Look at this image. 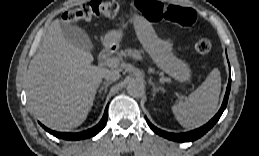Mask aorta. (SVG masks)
<instances>
[{
    "label": "aorta",
    "mask_w": 259,
    "mask_h": 156,
    "mask_svg": "<svg viewBox=\"0 0 259 156\" xmlns=\"http://www.w3.org/2000/svg\"><path fill=\"white\" fill-rule=\"evenodd\" d=\"M127 93L133 97H141L144 93V86L137 81H131L127 86Z\"/></svg>",
    "instance_id": "1"
}]
</instances>
